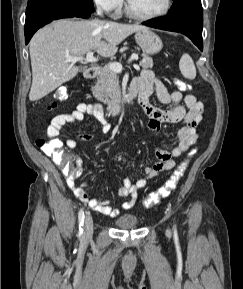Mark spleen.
<instances>
[{"mask_svg": "<svg viewBox=\"0 0 243 289\" xmlns=\"http://www.w3.org/2000/svg\"><path fill=\"white\" fill-rule=\"evenodd\" d=\"M179 68L182 75L187 79H195L196 77V67L189 54L185 53L182 55L179 61Z\"/></svg>", "mask_w": 243, "mask_h": 289, "instance_id": "1", "label": "spleen"}]
</instances>
